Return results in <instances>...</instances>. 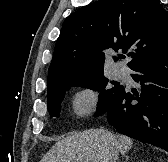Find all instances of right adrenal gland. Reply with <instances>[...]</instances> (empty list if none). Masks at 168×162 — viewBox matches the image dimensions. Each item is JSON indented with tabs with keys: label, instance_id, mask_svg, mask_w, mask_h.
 I'll use <instances>...</instances> for the list:
<instances>
[{
	"label": "right adrenal gland",
	"instance_id": "obj_1",
	"mask_svg": "<svg viewBox=\"0 0 168 162\" xmlns=\"http://www.w3.org/2000/svg\"><path fill=\"white\" fill-rule=\"evenodd\" d=\"M125 157V162L129 161V157L128 156H124Z\"/></svg>",
	"mask_w": 168,
	"mask_h": 162
}]
</instances>
